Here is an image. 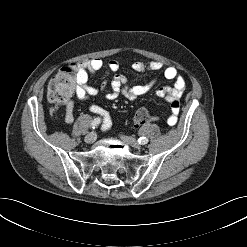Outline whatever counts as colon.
<instances>
[{"mask_svg":"<svg viewBox=\"0 0 247 247\" xmlns=\"http://www.w3.org/2000/svg\"><path fill=\"white\" fill-rule=\"evenodd\" d=\"M77 86V73L74 65L63 67L49 82L48 98L53 103L68 102ZM180 106L178 101L172 105L174 109ZM149 121V113L146 109L136 111L133 122L135 126H142Z\"/></svg>","mask_w":247,"mask_h":247,"instance_id":"1","label":"colon"}]
</instances>
